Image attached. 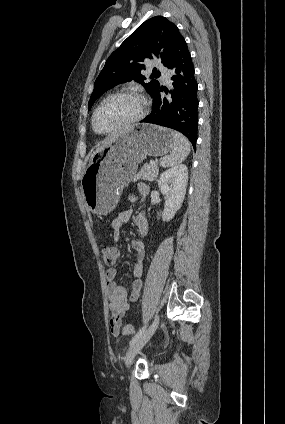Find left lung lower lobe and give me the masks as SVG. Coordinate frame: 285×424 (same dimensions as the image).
I'll use <instances>...</instances> for the list:
<instances>
[{"label": "left lung lower lobe", "instance_id": "1", "mask_svg": "<svg viewBox=\"0 0 285 424\" xmlns=\"http://www.w3.org/2000/svg\"><path fill=\"white\" fill-rule=\"evenodd\" d=\"M166 67L173 71L172 90L168 98H162L159 87L151 94L153 98L152 112L141 122L157 124L175 129L184 134L196 149L198 130V84L195 79L191 55L183 36L174 48Z\"/></svg>", "mask_w": 285, "mask_h": 424}]
</instances>
